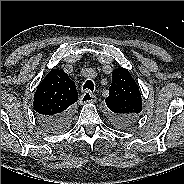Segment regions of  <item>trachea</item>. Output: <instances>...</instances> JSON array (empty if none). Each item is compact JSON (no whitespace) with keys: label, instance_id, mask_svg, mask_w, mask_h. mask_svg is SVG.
<instances>
[{"label":"trachea","instance_id":"trachea-1","mask_svg":"<svg viewBox=\"0 0 184 184\" xmlns=\"http://www.w3.org/2000/svg\"><path fill=\"white\" fill-rule=\"evenodd\" d=\"M88 89L91 90L93 92L94 90V84L91 80H87L83 86V90Z\"/></svg>","mask_w":184,"mask_h":184}]
</instances>
